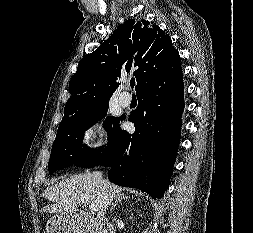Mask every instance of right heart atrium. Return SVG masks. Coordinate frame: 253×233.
Masks as SVG:
<instances>
[{"mask_svg":"<svg viewBox=\"0 0 253 233\" xmlns=\"http://www.w3.org/2000/svg\"><path fill=\"white\" fill-rule=\"evenodd\" d=\"M99 130L96 125H89L82 131L81 144L84 148H89L98 141Z\"/></svg>","mask_w":253,"mask_h":233,"instance_id":"d8ad5b80","label":"right heart atrium"}]
</instances>
